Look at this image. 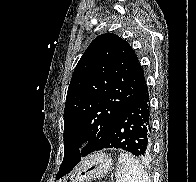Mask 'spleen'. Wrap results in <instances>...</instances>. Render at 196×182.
<instances>
[{"mask_svg": "<svg viewBox=\"0 0 196 182\" xmlns=\"http://www.w3.org/2000/svg\"><path fill=\"white\" fill-rule=\"evenodd\" d=\"M116 182H150L148 174L130 154L120 153L115 172Z\"/></svg>", "mask_w": 196, "mask_h": 182, "instance_id": "3e777b00", "label": "spleen"}]
</instances>
